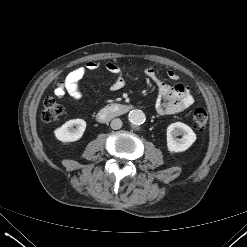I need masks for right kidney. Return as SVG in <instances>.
Wrapping results in <instances>:
<instances>
[{
	"label": "right kidney",
	"mask_w": 247,
	"mask_h": 247,
	"mask_svg": "<svg viewBox=\"0 0 247 247\" xmlns=\"http://www.w3.org/2000/svg\"><path fill=\"white\" fill-rule=\"evenodd\" d=\"M85 129L86 122L83 119H73L55 129L54 135L61 142H74L81 139Z\"/></svg>",
	"instance_id": "right-kidney-1"
}]
</instances>
